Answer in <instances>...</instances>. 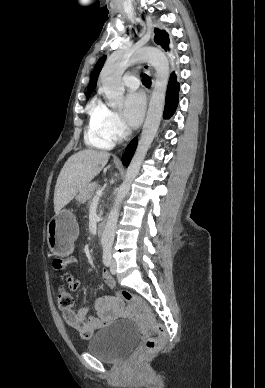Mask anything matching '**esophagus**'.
<instances>
[{"label":"esophagus","mask_w":265,"mask_h":388,"mask_svg":"<svg viewBox=\"0 0 265 388\" xmlns=\"http://www.w3.org/2000/svg\"><path fill=\"white\" fill-rule=\"evenodd\" d=\"M143 68L148 73H152L153 72L152 67L149 65V63H144Z\"/></svg>","instance_id":"obj_1"}]
</instances>
